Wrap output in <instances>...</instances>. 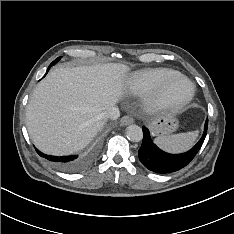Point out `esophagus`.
<instances>
[{"label":"esophagus","instance_id":"1","mask_svg":"<svg viewBox=\"0 0 234 234\" xmlns=\"http://www.w3.org/2000/svg\"><path fill=\"white\" fill-rule=\"evenodd\" d=\"M133 122H134V119L129 115H125L120 119V125L121 126H126V125H129V124H132Z\"/></svg>","mask_w":234,"mask_h":234}]
</instances>
